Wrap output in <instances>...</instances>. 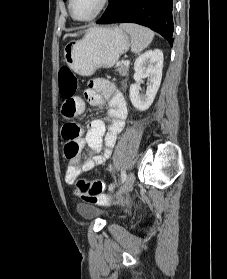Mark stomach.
<instances>
[{
    "label": "stomach",
    "mask_w": 227,
    "mask_h": 279,
    "mask_svg": "<svg viewBox=\"0 0 227 279\" xmlns=\"http://www.w3.org/2000/svg\"><path fill=\"white\" fill-rule=\"evenodd\" d=\"M129 47V36L121 28L91 27L82 39L65 45L64 61L75 73L90 76L99 68L114 66Z\"/></svg>",
    "instance_id": "0dacf381"
}]
</instances>
